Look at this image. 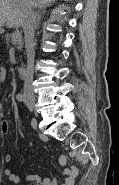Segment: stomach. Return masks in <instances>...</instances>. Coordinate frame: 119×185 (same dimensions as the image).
I'll return each instance as SVG.
<instances>
[{
  "mask_svg": "<svg viewBox=\"0 0 119 185\" xmlns=\"http://www.w3.org/2000/svg\"><path fill=\"white\" fill-rule=\"evenodd\" d=\"M3 33V29L0 27V34H2Z\"/></svg>",
  "mask_w": 119,
  "mask_h": 185,
  "instance_id": "stomach-1",
  "label": "stomach"
}]
</instances>
